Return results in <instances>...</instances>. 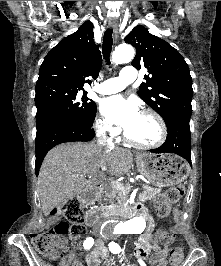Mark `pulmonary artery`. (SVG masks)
<instances>
[{
  "instance_id": "e3ab8cb5",
  "label": "pulmonary artery",
  "mask_w": 221,
  "mask_h": 266,
  "mask_svg": "<svg viewBox=\"0 0 221 266\" xmlns=\"http://www.w3.org/2000/svg\"><path fill=\"white\" fill-rule=\"evenodd\" d=\"M136 79L134 67L125 66L118 77L109 78L101 82L95 90L101 94H114L122 91L129 83Z\"/></svg>"
}]
</instances>
